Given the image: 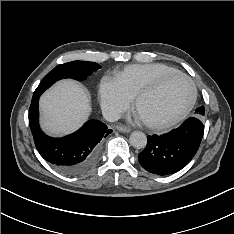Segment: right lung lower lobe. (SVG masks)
<instances>
[{"mask_svg":"<svg viewBox=\"0 0 234 234\" xmlns=\"http://www.w3.org/2000/svg\"><path fill=\"white\" fill-rule=\"evenodd\" d=\"M39 97L32 98L29 109V126L38 152L63 174L74 176L86 172L98 158L101 139L112 130L101 121L90 120L66 137H49L39 127Z\"/></svg>","mask_w":234,"mask_h":234,"instance_id":"98d812e1","label":"right lung lower lobe"}]
</instances>
